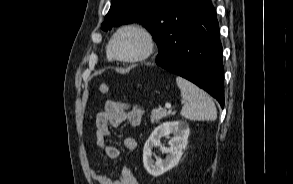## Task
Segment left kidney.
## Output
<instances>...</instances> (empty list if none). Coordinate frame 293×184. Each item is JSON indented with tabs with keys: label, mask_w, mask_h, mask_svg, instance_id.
Here are the masks:
<instances>
[{
	"label": "left kidney",
	"mask_w": 293,
	"mask_h": 184,
	"mask_svg": "<svg viewBox=\"0 0 293 184\" xmlns=\"http://www.w3.org/2000/svg\"><path fill=\"white\" fill-rule=\"evenodd\" d=\"M170 134H173V137L168 143L170 147L165 148L161 145L160 138L162 136H169ZM189 134V126L184 121L165 122L156 127L146 141L143 149V163L146 171L150 175L158 177L175 167L187 146ZM156 146H160L162 153L167 154L164 160L158 158L154 162L152 159V149Z\"/></svg>",
	"instance_id": "obj_1"
}]
</instances>
